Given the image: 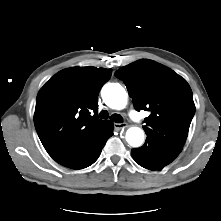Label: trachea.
<instances>
[{
  "instance_id": "obj_1",
  "label": "trachea",
  "mask_w": 221,
  "mask_h": 221,
  "mask_svg": "<svg viewBox=\"0 0 221 221\" xmlns=\"http://www.w3.org/2000/svg\"><path fill=\"white\" fill-rule=\"evenodd\" d=\"M108 116H109V114L106 110H102L99 113V118H101V119H107ZM110 118H111L112 121H114L116 123H122L123 122V118L119 114H113Z\"/></svg>"
}]
</instances>
